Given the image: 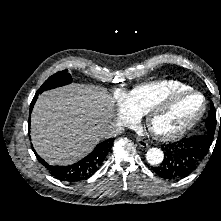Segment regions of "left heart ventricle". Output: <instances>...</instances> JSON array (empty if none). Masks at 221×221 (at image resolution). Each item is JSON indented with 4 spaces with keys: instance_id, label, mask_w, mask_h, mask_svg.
<instances>
[{
    "instance_id": "obj_1",
    "label": "left heart ventricle",
    "mask_w": 221,
    "mask_h": 221,
    "mask_svg": "<svg viewBox=\"0 0 221 221\" xmlns=\"http://www.w3.org/2000/svg\"><path fill=\"white\" fill-rule=\"evenodd\" d=\"M201 106V98L197 95L187 96L160 113L153 122L160 131H170L190 119Z\"/></svg>"
}]
</instances>
